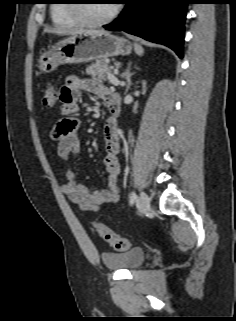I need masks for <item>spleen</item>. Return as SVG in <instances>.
Instances as JSON below:
<instances>
[{"label": "spleen", "instance_id": "spleen-1", "mask_svg": "<svg viewBox=\"0 0 236 321\" xmlns=\"http://www.w3.org/2000/svg\"><path fill=\"white\" fill-rule=\"evenodd\" d=\"M134 49H135V52L138 54V55H142L143 54V48L138 45V44H134Z\"/></svg>", "mask_w": 236, "mask_h": 321}]
</instances>
